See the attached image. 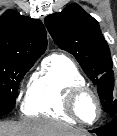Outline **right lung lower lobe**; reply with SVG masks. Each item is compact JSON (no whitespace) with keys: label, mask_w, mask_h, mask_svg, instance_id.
<instances>
[{"label":"right lung lower lobe","mask_w":117,"mask_h":136,"mask_svg":"<svg viewBox=\"0 0 117 136\" xmlns=\"http://www.w3.org/2000/svg\"><path fill=\"white\" fill-rule=\"evenodd\" d=\"M13 106L8 105H0V117L7 115L13 110Z\"/></svg>","instance_id":"1"}]
</instances>
